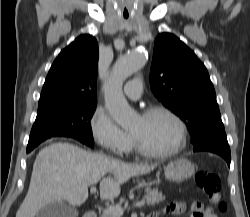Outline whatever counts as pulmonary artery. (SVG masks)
Masks as SVG:
<instances>
[{"label": "pulmonary artery", "instance_id": "1", "mask_svg": "<svg viewBox=\"0 0 250 217\" xmlns=\"http://www.w3.org/2000/svg\"><path fill=\"white\" fill-rule=\"evenodd\" d=\"M124 94L130 99H139L142 94L141 78H135L131 81H128L124 87Z\"/></svg>", "mask_w": 250, "mask_h": 217}]
</instances>
